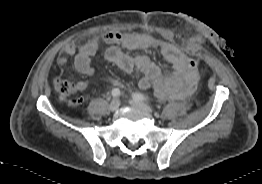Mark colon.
Here are the masks:
<instances>
[{
    "label": "colon",
    "instance_id": "colon-1",
    "mask_svg": "<svg viewBox=\"0 0 262 184\" xmlns=\"http://www.w3.org/2000/svg\"><path fill=\"white\" fill-rule=\"evenodd\" d=\"M200 60L194 55V51H187L186 54V69L191 76L199 74ZM56 91L63 97L68 98L76 92V85L69 79L57 78L54 81Z\"/></svg>",
    "mask_w": 262,
    "mask_h": 184
}]
</instances>
